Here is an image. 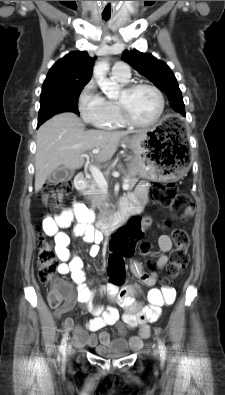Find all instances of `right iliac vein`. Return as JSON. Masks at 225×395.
Masks as SVG:
<instances>
[{
  "mask_svg": "<svg viewBox=\"0 0 225 395\" xmlns=\"http://www.w3.org/2000/svg\"><path fill=\"white\" fill-rule=\"evenodd\" d=\"M67 351H68V354H71L72 348H71L70 344L68 345Z\"/></svg>",
  "mask_w": 225,
  "mask_h": 395,
  "instance_id": "right-iliac-vein-1",
  "label": "right iliac vein"
}]
</instances>
